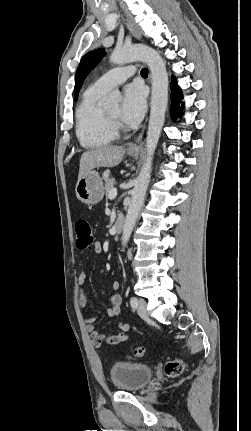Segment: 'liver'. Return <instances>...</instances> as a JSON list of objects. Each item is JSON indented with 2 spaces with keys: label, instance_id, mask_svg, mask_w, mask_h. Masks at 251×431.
<instances>
[{
  "label": "liver",
  "instance_id": "1",
  "mask_svg": "<svg viewBox=\"0 0 251 431\" xmlns=\"http://www.w3.org/2000/svg\"><path fill=\"white\" fill-rule=\"evenodd\" d=\"M125 154L123 146H102L82 154L78 179L85 177L91 170L99 167L117 166Z\"/></svg>",
  "mask_w": 251,
  "mask_h": 431
}]
</instances>
